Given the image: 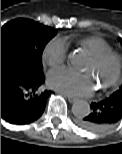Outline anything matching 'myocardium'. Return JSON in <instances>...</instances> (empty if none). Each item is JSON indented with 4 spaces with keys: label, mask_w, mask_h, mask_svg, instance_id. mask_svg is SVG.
I'll return each mask as SVG.
<instances>
[{
    "label": "myocardium",
    "mask_w": 122,
    "mask_h": 154,
    "mask_svg": "<svg viewBox=\"0 0 122 154\" xmlns=\"http://www.w3.org/2000/svg\"><path fill=\"white\" fill-rule=\"evenodd\" d=\"M91 61L95 68H103L108 64L113 65L111 76L100 84L102 90L109 89L121 80L122 78V56L115 52H108L98 56H91Z\"/></svg>",
    "instance_id": "myocardium-1"
}]
</instances>
